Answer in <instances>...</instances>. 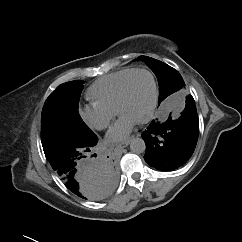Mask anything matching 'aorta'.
Listing matches in <instances>:
<instances>
[{
    "instance_id": "obj_1",
    "label": "aorta",
    "mask_w": 242,
    "mask_h": 242,
    "mask_svg": "<svg viewBox=\"0 0 242 242\" xmlns=\"http://www.w3.org/2000/svg\"><path fill=\"white\" fill-rule=\"evenodd\" d=\"M130 149L135 154H141L145 152L146 144L142 138H134L131 140Z\"/></svg>"
}]
</instances>
